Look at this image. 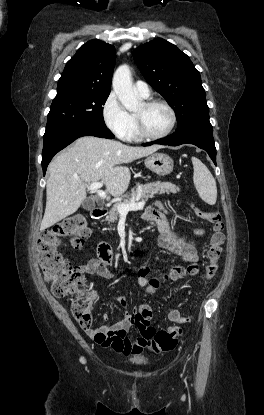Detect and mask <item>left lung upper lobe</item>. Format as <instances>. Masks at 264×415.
Segmentation results:
<instances>
[{
    "label": "left lung upper lobe",
    "mask_w": 264,
    "mask_h": 415,
    "mask_svg": "<svg viewBox=\"0 0 264 415\" xmlns=\"http://www.w3.org/2000/svg\"><path fill=\"white\" fill-rule=\"evenodd\" d=\"M133 57L146 81L173 107L177 126L209 114L200 73L175 45L158 38L135 49Z\"/></svg>",
    "instance_id": "5c2ea615"
}]
</instances>
